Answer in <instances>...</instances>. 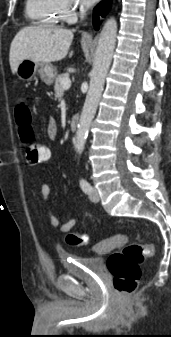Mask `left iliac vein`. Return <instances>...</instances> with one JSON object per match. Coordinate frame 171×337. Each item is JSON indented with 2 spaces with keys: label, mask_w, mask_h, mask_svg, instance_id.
Instances as JSON below:
<instances>
[{
  "label": "left iliac vein",
  "mask_w": 171,
  "mask_h": 337,
  "mask_svg": "<svg viewBox=\"0 0 171 337\" xmlns=\"http://www.w3.org/2000/svg\"><path fill=\"white\" fill-rule=\"evenodd\" d=\"M89 198L93 202H98L100 200L98 189L93 187L91 190V193L89 195Z\"/></svg>",
  "instance_id": "1"
}]
</instances>
